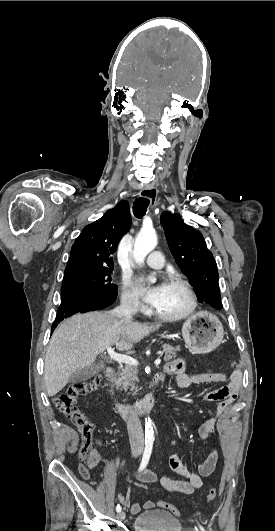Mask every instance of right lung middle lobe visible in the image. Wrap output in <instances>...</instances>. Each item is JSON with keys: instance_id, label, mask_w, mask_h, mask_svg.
I'll use <instances>...</instances> for the list:
<instances>
[{"instance_id": "right-lung-middle-lobe-1", "label": "right lung middle lobe", "mask_w": 275, "mask_h": 531, "mask_svg": "<svg viewBox=\"0 0 275 531\" xmlns=\"http://www.w3.org/2000/svg\"><path fill=\"white\" fill-rule=\"evenodd\" d=\"M113 268H84L65 272L61 295L85 294L101 302L116 300L117 286L112 283Z\"/></svg>"}]
</instances>
